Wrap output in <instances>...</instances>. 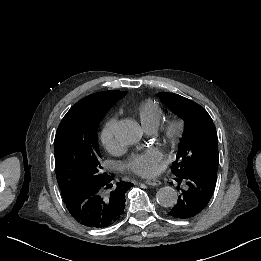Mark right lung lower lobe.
<instances>
[{"label": "right lung lower lobe", "instance_id": "98d812e1", "mask_svg": "<svg viewBox=\"0 0 261 261\" xmlns=\"http://www.w3.org/2000/svg\"><path fill=\"white\" fill-rule=\"evenodd\" d=\"M111 180L110 175L104 174L92 184L76 185L63 197L68 211L78 223L92 228H104L121 217L125 207V193L132 183L120 181L113 186Z\"/></svg>", "mask_w": 261, "mask_h": 261}]
</instances>
